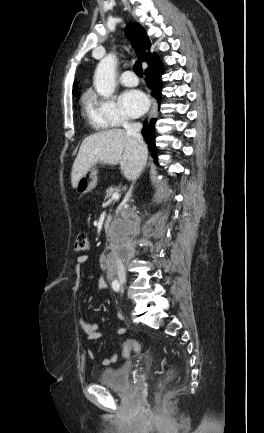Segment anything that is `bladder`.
I'll return each mask as SVG.
<instances>
[{
    "label": "bladder",
    "instance_id": "31cf9c89",
    "mask_svg": "<svg viewBox=\"0 0 264 433\" xmlns=\"http://www.w3.org/2000/svg\"><path fill=\"white\" fill-rule=\"evenodd\" d=\"M131 364H124L117 369H103L100 373L101 385L118 392H127L130 389Z\"/></svg>",
    "mask_w": 264,
    "mask_h": 433
}]
</instances>
